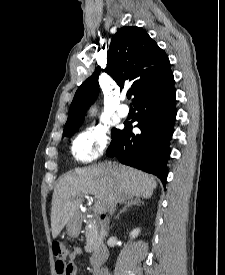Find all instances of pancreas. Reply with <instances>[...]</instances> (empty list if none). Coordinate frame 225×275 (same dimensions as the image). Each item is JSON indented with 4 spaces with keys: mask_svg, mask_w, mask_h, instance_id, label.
I'll list each match as a JSON object with an SVG mask.
<instances>
[{
    "mask_svg": "<svg viewBox=\"0 0 225 275\" xmlns=\"http://www.w3.org/2000/svg\"><path fill=\"white\" fill-rule=\"evenodd\" d=\"M86 247L85 250L91 253L95 250L99 241V227L95 220H89L86 224Z\"/></svg>",
    "mask_w": 225,
    "mask_h": 275,
    "instance_id": "obj_1",
    "label": "pancreas"
}]
</instances>
